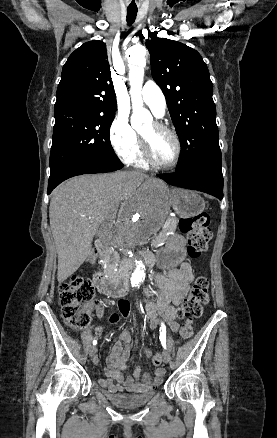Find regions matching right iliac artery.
<instances>
[{"label":"right iliac artery","mask_w":277,"mask_h":438,"mask_svg":"<svg viewBox=\"0 0 277 438\" xmlns=\"http://www.w3.org/2000/svg\"><path fill=\"white\" fill-rule=\"evenodd\" d=\"M97 344V340H93V345H96Z\"/></svg>","instance_id":"right-iliac-artery-1"}]
</instances>
